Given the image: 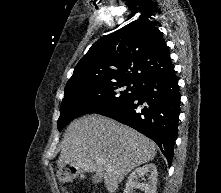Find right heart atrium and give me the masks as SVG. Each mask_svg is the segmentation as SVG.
Masks as SVG:
<instances>
[{"instance_id": "right-heart-atrium-1", "label": "right heart atrium", "mask_w": 221, "mask_h": 193, "mask_svg": "<svg viewBox=\"0 0 221 193\" xmlns=\"http://www.w3.org/2000/svg\"><path fill=\"white\" fill-rule=\"evenodd\" d=\"M97 99L100 103H106L108 101V96L106 94H99Z\"/></svg>"}]
</instances>
